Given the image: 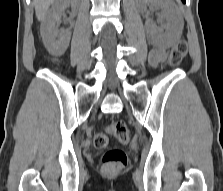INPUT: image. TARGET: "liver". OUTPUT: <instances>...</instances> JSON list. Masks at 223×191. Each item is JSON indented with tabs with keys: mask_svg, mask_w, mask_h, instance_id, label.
Wrapping results in <instances>:
<instances>
[{
	"mask_svg": "<svg viewBox=\"0 0 223 191\" xmlns=\"http://www.w3.org/2000/svg\"><path fill=\"white\" fill-rule=\"evenodd\" d=\"M55 1L56 0H34L35 13L39 21L44 20L48 8Z\"/></svg>",
	"mask_w": 223,
	"mask_h": 191,
	"instance_id": "6515ba94",
	"label": "liver"
}]
</instances>
